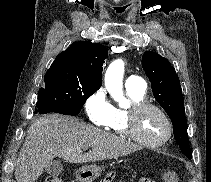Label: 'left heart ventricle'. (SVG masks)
<instances>
[{
	"mask_svg": "<svg viewBox=\"0 0 211 182\" xmlns=\"http://www.w3.org/2000/svg\"><path fill=\"white\" fill-rule=\"evenodd\" d=\"M137 131L142 139L156 142L164 136L166 124L156 110L147 109L138 116Z\"/></svg>",
	"mask_w": 211,
	"mask_h": 182,
	"instance_id": "left-heart-ventricle-1",
	"label": "left heart ventricle"
}]
</instances>
